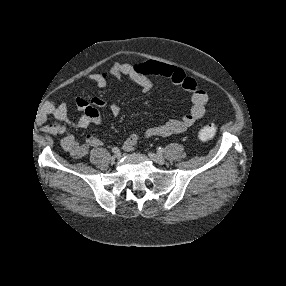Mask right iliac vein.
I'll list each match as a JSON object with an SVG mask.
<instances>
[{
    "mask_svg": "<svg viewBox=\"0 0 286 286\" xmlns=\"http://www.w3.org/2000/svg\"><path fill=\"white\" fill-rule=\"evenodd\" d=\"M116 159H117V156H116V155H113V156L111 157V162L114 163V162L116 161Z\"/></svg>",
    "mask_w": 286,
    "mask_h": 286,
    "instance_id": "right-iliac-vein-1",
    "label": "right iliac vein"
}]
</instances>
